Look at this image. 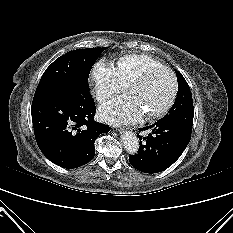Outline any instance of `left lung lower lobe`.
<instances>
[{
	"label": "left lung lower lobe",
	"mask_w": 233,
	"mask_h": 233,
	"mask_svg": "<svg viewBox=\"0 0 233 233\" xmlns=\"http://www.w3.org/2000/svg\"><path fill=\"white\" fill-rule=\"evenodd\" d=\"M151 130L147 137L139 136L137 154L129 161L137 170L145 173H157L170 167L183 153L191 138L192 129L170 119L161 118L151 126L141 128Z\"/></svg>",
	"instance_id": "left-lung-lower-lobe-1"
}]
</instances>
